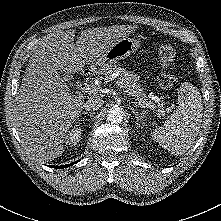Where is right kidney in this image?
Listing matches in <instances>:
<instances>
[{
    "label": "right kidney",
    "mask_w": 221,
    "mask_h": 221,
    "mask_svg": "<svg viewBox=\"0 0 221 221\" xmlns=\"http://www.w3.org/2000/svg\"><path fill=\"white\" fill-rule=\"evenodd\" d=\"M81 136L82 129L80 127H74L66 134L64 142L66 144H71V146H75L80 141Z\"/></svg>",
    "instance_id": "ca27d5eb"
}]
</instances>
